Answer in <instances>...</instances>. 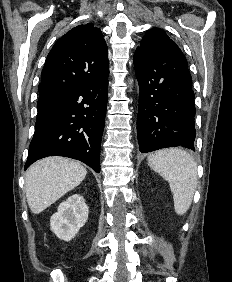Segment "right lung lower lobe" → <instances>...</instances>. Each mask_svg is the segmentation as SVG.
<instances>
[{
    "instance_id": "obj_1",
    "label": "right lung lower lobe",
    "mask_w": 232,
    "mask_h": 282,
    "mask_svg": "<svg viewBox=\"0 0 232 282\" xmlns=\"http://www.w3.org/2000/svg\"><path fill=\"white\" fill-rule=\"evenodd\" d=\"M108 75L72 88L37 118L25 169L38 159L56 155L80 160L100 172Z\"/></svg>"
}]
</instances>
